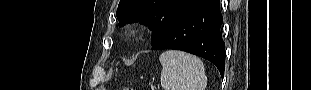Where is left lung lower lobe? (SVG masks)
<instances>
[{
    "label": "left lung lower lobe",
    "mask_w": 311,
    "mask_h": 90,
    "mask_svg": "<svg viewBox=\"0 0 311 90\" xmlns=\"http://www.w3.org/2000/svg\"><path fill=\"white\" fill-rule=\"evenodd\" d=\"M223 17L219 0H200L180 15L151 50L176 49L212 62L224 76L225 44L220 27Z\"/></svg>",
    "instance_id": "1"
}]
</instances>
